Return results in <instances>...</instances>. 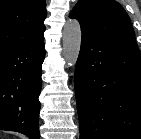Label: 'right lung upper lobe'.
I'll use <instances>...</instances> for the list:
<instances>
[{"mask_svg":"<svg viewBox=\"0 0 141 139\" xmlns=\"http://www.w3.org/2000/svg\"><path fill=\"white\" fill-rule=\"evenodd\" d=\"M45 0H0V51L43 37Z\"/></svg>","mask_w":141,"mask_h":139,"instance_id":"cb5924a9","label":"right lung upper lobe"}]
</instances>
